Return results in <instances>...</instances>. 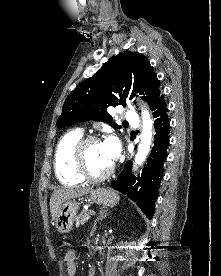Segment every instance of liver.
Listing matches in <instances>:
<instances>
[{"mask_svg":"<svg viewBox=\"0 0 221 276\" xmlns=\"http://www.w3.org/2000/svg\"><path fill=\"white\" fill-rule=\"evenodd\" d=\"M90 188H63L53 192L50 199V212L52 219L54 220L59 212L61 205L70 199L81 197L87 193H90Z\"/></svg>","mask_w":221,"mask_h":276,"instance_id":"6515ba94","label":"liver"}]
</instances>
